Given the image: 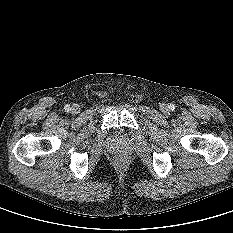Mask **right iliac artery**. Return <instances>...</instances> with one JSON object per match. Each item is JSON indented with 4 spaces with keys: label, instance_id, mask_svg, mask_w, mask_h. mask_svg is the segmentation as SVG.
Instances as JSON below:
<instances>
[{
    "label": "right iliac artery",
    "instance_id": "obj_1",
    "mask_svg": "<svg viewBox=\"0 0 233 233\" xmlns=\"http://www.w3.org/2000/svg\"><path fill=\"white\" fill-rule=\"evenodd\" d=\"M64 110H65L66 112H69V111L71 110L70 105H68V104L65 105Z\"/></svg>",
    "mask_w": 233,
    "mask_h": 233
}]
</instances>
